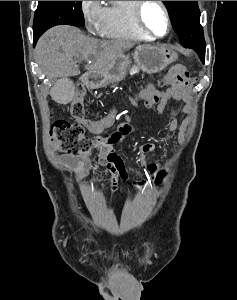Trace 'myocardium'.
Masks as SVG:
<instances>
[{"instance_id":"f54148a6","label":"myocardium","mask_w":237,"mask_h":300,"mask_svg":"<svg viewBox=\"0 0 237 300\" xmlns=\"http://www.w3.org/2000/svg\"><path fill=\"white\" fill-rule=\"evenodd\" d=\"M149 2L150 1H137L136 7H135V16H136L137 23L139 24L141 29L147 35L154 37L156 39H163L166 36H168V34L170 33L171 28H172L171 16H170L168 6L164 1H155L156 3H158L160 5V7L163 10L165 20H166V26H167L166 31L163 35H157L147 26V24L145 23V20H144V10Z\"/></svg>"}]
</instances>
